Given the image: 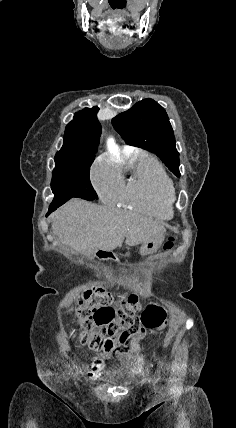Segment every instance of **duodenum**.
I'll return each instance as SVG.
<instances>
[{"label": "duodenum", "instance_id": "duodenum-1", "mask_svg": "<svg viewBox=\"0 0 236 428\" xmlns=\"http://www.w3.org/2000/svg\"><path fill=\"white\" fill-rule=\"evenodd\" d=\"M97 257L100 260L110 262V263H118V258L112 250L109 249H101L97 252Z\"/></svg>", "mask_w": 236, "mask_h": 428}]
</instances>
